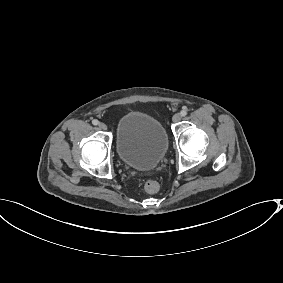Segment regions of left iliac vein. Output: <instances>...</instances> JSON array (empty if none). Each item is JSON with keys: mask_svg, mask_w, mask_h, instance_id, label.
<instances>
[{"mask_svg": "<svg viewBox=\"0 0 283 283\" xmlns=\"http://www.w3.org/2000/svg\"><path fill=\"white\" fill-rule=\"evenodd\" d=\"M181 118H182L181 114L176 113V114L173 115L172 121L176 123V122H179L181 120Z\"/></svg>", "mask_w": 283, "mask_h": 283, "instance_id": "obj_1", "label": "left iliac vein"}]
</instances>
